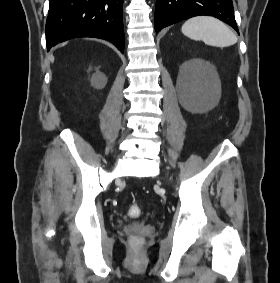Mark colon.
<instances>
[{
  "label": "colon",
  "mask_w": 280,
  "mask_h": 283,
  "mask_svg": "<svg viewBox=\"0 0 280 283\" xmlns=\"http://www.w3.org/2000/svg\"><path fill=\"white\" fill-rule=\"evenodd\" d=\"M141 213L140 207L138 205H132L128 208V215L132 218H137Z\"/></svg>",
  "instance_id": "obj_1"
}]
</instances>
